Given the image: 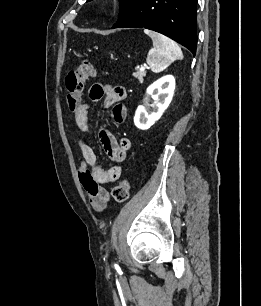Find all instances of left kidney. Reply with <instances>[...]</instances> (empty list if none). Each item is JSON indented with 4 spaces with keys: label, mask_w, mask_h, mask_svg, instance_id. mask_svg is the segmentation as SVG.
I'll list each match as a JSON object with an SVG mask.
<instances>
[{
    "label": "left kidney",
    "mask_w": 261,
    "mask_h": 306,
    "mask_svg": "<svg viewBox=\"0 0 261 306\" xmlns=\"http://www.w3.org/2000/svg\"><path fill=\"white\" fill-rule=\"evenodd\" d=\"M174 90L175 78L172 75L164 76L151 84L146 90L144 105L138 106L135 112V126L147 130L158 121L171 103ZM150 98H152L151 104Z\"/></svg>",
    "instance_id": "left-kidney-1"
}]
</instances>
